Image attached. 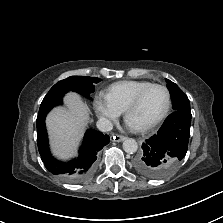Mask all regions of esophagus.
I'll return each mask as SVG.
<instances>
[{
	"label": "esophagus",
	"instance_id": "1",
	"mask_svg": "<svg viewBox=\"0 0 223 223\" xmlns=\"http://www.w3.org/2000/svg\"><path fill=\"white\" fill-rule=\"evenodd\" d=\"M126 137L125 136H122V135H113V140L115 142H122L123 140H125Z\"/></svg>",
	"mask_w": 223,
	"mask_h": 223
}]
</instances>
